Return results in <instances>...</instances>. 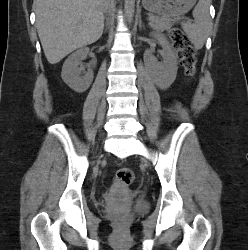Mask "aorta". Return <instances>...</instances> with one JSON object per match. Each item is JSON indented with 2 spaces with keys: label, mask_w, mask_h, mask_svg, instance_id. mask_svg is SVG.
Here are the masks:
<instances>
[{
  "label": "aorta",
  "mask_w": 248,
  "mask_h": 250,
  "mask_svg": "<svg viewBox=\"0 0 248 250\" xmlns=\"http://www.w3.org/2000/svg\"><path fill=\"white\" fill-rule=\"evenodd\" d=\"M135 11V0H125V16L126 20L130 23L132 21Z\"/></svg>",
  "instance_id": "aorta-1"
}]
</instances>
